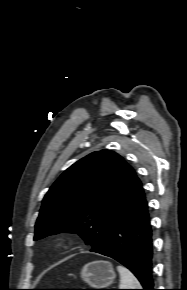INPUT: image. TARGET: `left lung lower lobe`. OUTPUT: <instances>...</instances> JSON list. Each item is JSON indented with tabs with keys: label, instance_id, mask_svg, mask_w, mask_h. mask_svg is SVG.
Masks as SVG:
<instances>
[{
	"label": "left lung lower lobe",
	"instance_id": "1",
	"mask_svg": "<svg viewBox=\"0 0 187 290\" xmlns=\"http://www.w3.org/2000/svg\"><path fill=\"white\" fill-rule=\"evenodd\" d=\"M127 267L143 290H155L152 277V231L142 186L130 199L100 245L91 249Z\"/></svg>",
	"mask_w": 187,
	"mask_h": 290
}]
</instances>
